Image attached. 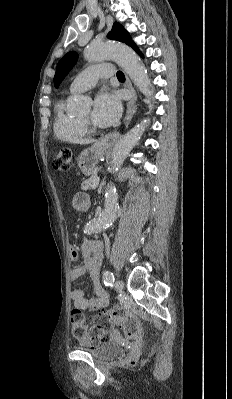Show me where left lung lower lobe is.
<instances>
[{
	"mask_svg": "<svg viewBox=\"0 0 232 399\" xmlns=\"http://www.w3.org/2000/svg\"><path fill=\"white\" fill-rule=\"evenodd\" d=\"M141 57H143V54L139 51V49L135 50Z\"/></svg>",
	"mask_w": 232,
	"mask_h": 399,
	"instance_id": "0a47b994",
	"label": "left lung lower lobe"
}]
</instances>
